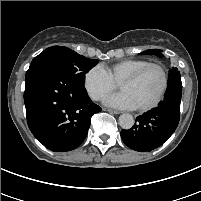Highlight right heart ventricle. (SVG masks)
I'll return each instance as SVG.
<instances>
[{"mask_svg":"<svg viewBox=\"0 0 201 201\" xmlns=\"http://www.w3.org/2000/svg\"><path fill=\"white\" fill-rule=\"evenodd\" d=\"M149 62L146 60H139V59H127L116 62L109 66H102L106 72L109 74L111 79L119 84L122 79L126 76L130 75L137 69L145 66Z\"/></svg>","mask_w":201,"mask_h":201,"instance_id":"right-heart-ventricle-1","label":"right heart ventricle"}]
</instances>
